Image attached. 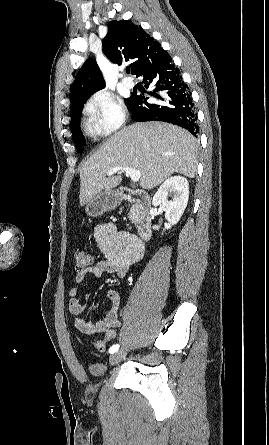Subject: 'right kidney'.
Here are the masks:
<instances>
[{
    "mask_svg": "<svg viewBox=\"0 0 269 445\" xmlns=\"http://www.w3.org/2000/svg\"><path fill=\"white\" fill-rule=\"evenodd\" d=\"M168 192H173L172 200L167 199ZM189 199V184L186 178L173 176L165 180L155 193L152 203L160 205L165 210V229H170L177 224L182 217ZM153 226V229H158Z\"/></svg>",
    "mask_w": 269,
    "mask_h": 445,
    "instance_id": "ca27d5eb",
    "label": "right kidney"
}]
</instances>
